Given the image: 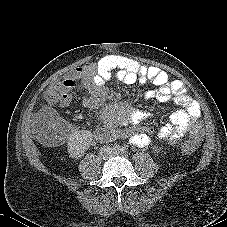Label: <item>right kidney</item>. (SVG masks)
I'll use <instances>...</instances> for the list:
<instances>
[{
  "instance_id": "obj_1",
  "label": "right kidney",
  "mask_w": 227,
  "mask_h": 227,
  "mask_svg": "<svg viewBox=\"0 0 227 227\" xmlns=\"http://www.w3.org/2000/svg\"><path fill=\"white\" fill-rule=\"evenodd\" d=\"M92 142V133L88 130H79L70 134L67 142L69 156L74 159L82 157Z\"/></svg>"
}]
</instances>
